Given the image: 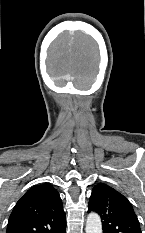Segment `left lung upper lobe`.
<instances>
[{"label": "left lung upper lobe", "mask_w": 145, "mask_h": 233, "mask_svg": "<svg viewBox=\"0 0 145 233\" xmlns=\"http://www.w3.org/2000/svg\"><path fill=\"white\" fill-rule=\"evenodd\" d=\"M97 212L104 233H141L140 224L131 203L107 184H97L88 203V212Z\"/></svg>", "instance_id": "left-lung-upper-lobe-1"}]
</instances>
